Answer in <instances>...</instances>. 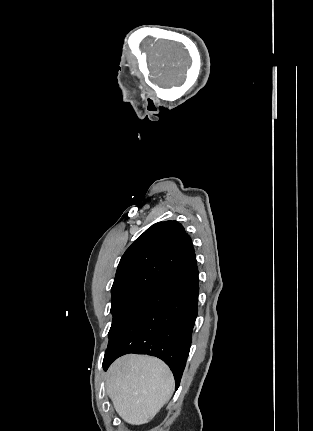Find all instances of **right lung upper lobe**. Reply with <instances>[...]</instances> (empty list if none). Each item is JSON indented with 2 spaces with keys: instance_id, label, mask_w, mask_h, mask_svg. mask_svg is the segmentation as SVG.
Listing matches in <instances>:
<instances>
[{
  "instance_id": "right-lung-upper-lobe-1",
  "label": "right lung upper lobe",
  "mask_w": 313,
  "mask_h": 431,
  "mask_svg": "<svg viewBox=\"0 0 313 431\" xmlns=\"http://www.w3.org/2000/svg\"><path fill=\"white\" fill-rule=\"evenodd\" d=\"M194 253L190 236L177 221L152 225L122 256L112 297L128 293L149 295Z\"/></svg>"
}]
</instances>
